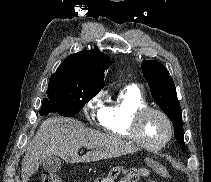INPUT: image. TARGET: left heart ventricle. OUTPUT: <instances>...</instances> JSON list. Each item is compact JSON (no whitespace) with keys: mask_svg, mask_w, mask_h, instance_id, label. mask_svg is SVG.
Masks as SVG:
<instances>
[{"mask_svg":"<svg viewBox=\"0 0 211 182\" xmlns=\"http://www.w3.org/2000/svg\"><path fill=\"white\" fill-rule=\"evenodd\" d=\"M140 133L146 143L157 145L166 138L167 126L161 116L149 113L141 120Z\"/></svg>","mask_w":211,"mask_h":182,"instance_id":"left-heart-ventricle-1","label":"left heart ventricle"}]
</instances>
